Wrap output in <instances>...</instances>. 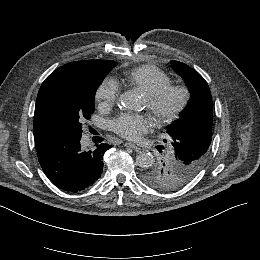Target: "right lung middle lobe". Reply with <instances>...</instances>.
Masks as SVG:
<instances>
[{
	"instance_id": "1",
	"label": "right lung middle lobe",
	"mask_w": 260,
	"mask_h": 260,
	"mask_svg": "<svg viewBox=\"0 0 260 260\" xmlns=\"http://www.w3.org/2000/svg\"><path fill=\"white\" fill-rule=\"evenodd\" d=\"M108 72H86L54 85L44 101L42 131L52 140L80 138L82 123L95 110L96 89Z\"/></svg>"
}]
</instances>
